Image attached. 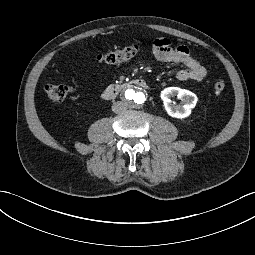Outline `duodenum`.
Instances as JSON below:
<instances>
[{
	"instance_id": "duodenum-1",
	"label": "duodenum",
	"mask_w": 255,
	"mask_h": 255,
	"mask_svg": "<svg viewBox=\"0 0 255 255\" xmlns=\"http://www.w3.org/2000/svg\"><path fill=\"white\" fill-rule=\"evenodd\" d=\"M133 87H140L146 89L148 88V83L142 78H134L122 83L112 84L102 92V97L103 99L111 100L114 99L121 91Z\"/></svg>"
}]
</instances>
